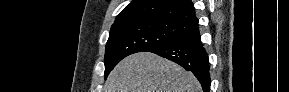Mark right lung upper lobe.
I'll list each match as a JSON object with an SVG mask.
<instances>
[{"label":"right lung upper lobe","instance_id":"right-lung-upper-lobe-1","mask_svg":"<svg viewBox=\"0 0 289 92\" xmlns=\"http://www.w3.org/2000/svg\"><path fill=\"white\" fill-rule=\"evenodd\" d=\"M137 18H152L191 26L197 18L191 0H133L116 17L115 23Z\"/></svg>","mask_w":289,"mask_h":92}]
</instances>
